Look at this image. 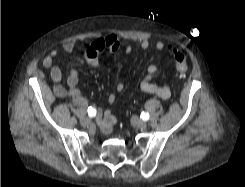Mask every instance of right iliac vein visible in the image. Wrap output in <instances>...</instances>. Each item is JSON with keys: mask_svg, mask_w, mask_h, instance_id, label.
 <instances>
[{"mask_svg": "<svg viewBox=\"0 0 245 187\" xmlns=\"http://www.w3.org/2000/svg\"><path fill=\"white\" fill-rule=\"evenodd\" d=\"M80 122L83 126H88L91 123V120L89 118H82Z\"/></svg>", "mask_w": 245, "mask_h": 187, "instance_id": "1", "label": "right iliac vein"}]
</instances>
